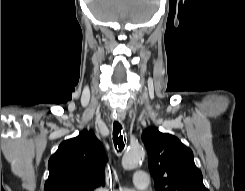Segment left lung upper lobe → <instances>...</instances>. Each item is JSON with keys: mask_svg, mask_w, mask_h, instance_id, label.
Returning a JSON list of instances; mask_svg holds the SVG:
<instances>
[{"mask_svg": "<svg viewBox=\"0 0 245 191\" xmlns=\"http://www.w3.org/2000/svg\"><path fill=\"white\" fill-rule=\"evenodd\" d=\"M157 191H209L193 152L176 136L148 128L142 134Z\"/></svg>", "mask_w": 245, "mask_h": 191, "instance_id": "obj_1", "label": "left lung upper lobe"}]
</instances>
